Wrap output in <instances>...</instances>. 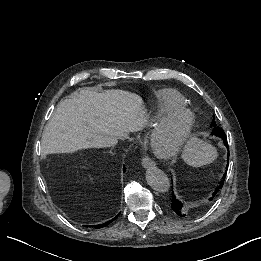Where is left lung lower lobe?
Returning a JSON list of instances; mask_svg holds the SVG:
<instances>
[{"instance_id":"1","label":"left lung lower lobe","mask_w":261,"mask_h":261,"mask_svg":"<svg viewBox=\"0 0 261 261\" xmlns=\"http://www.w3.org/2000/svg\"><path fill=\"white\" fill-rule=\"evenodd\" d=\"M224 144L227 146V142H226V138L224 139ZM225 178V176H224ZM224 178H222V180L220 181V185L218 186V188L215 190V194L219 191V189H221L222 185L224 184ZM215 194L213 196H215ZM212 200V198H211ZM171 210L178 216L180 217H184L186 216L187 213V209L186 207H184V205L182 204L181 201H179L178 199H176V197L174 196V194H172V203H171Z\"/></svg>"}]
</instances>
